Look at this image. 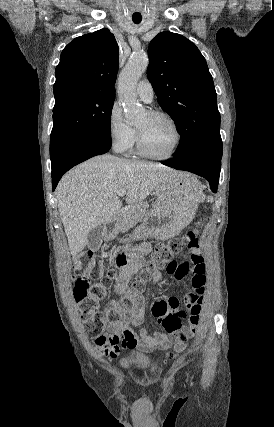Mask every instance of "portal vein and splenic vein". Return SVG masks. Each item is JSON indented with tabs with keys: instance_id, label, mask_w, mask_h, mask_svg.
<instances>
[{
	"instance_id": "portal-vein-and-splenic-vein-1",
	"label": "portal vein and splenic vein",
	"mask_w": 274,
	"mask_h": 427,
	"mask_svg": "<svg viewBox=\"0 0 274 427\" xmlns=\"http://www.w3.org/2000/svg\"><path fill=\"white\" fill-rule=\"evenodd\" d=\"M117 196H126V190H117Z\"/></svg>"
}]
</instances>
